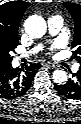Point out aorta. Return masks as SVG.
I'll return each instance as SVG.
<instances>
[{
	"mask_svg": "<svg viewBox=\"0 0 81 124\" xmlns=\"http://www.w3.org/2000/svg\"><path fill=\"white\" fill-rule=\"evenodd\" d=\"M24 28L29 36L40 38L46 33L47 25L42 17L33 15L26 19ZM52 76L54 82L57 84L64 83L67 80V74L64 70H55Z\"/></svg>",
	"mask_w": 81,
	"mask_h": 124,
	"instance_id": "obj_1",
	"label": "aorta"
}]
</instances>
